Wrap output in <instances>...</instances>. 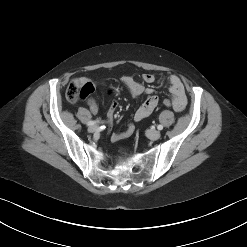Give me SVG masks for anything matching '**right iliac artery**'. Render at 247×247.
<instances>
[{
    "instance_id": "82829eb1",
    "label": "right iliac artery",
    "mask_w": 247,
    "mask_h": 247,
    "mask_svg": "<svg viewBox=\"0 0 247 247\" xmlns=\"http://www.w3.org/2000/svg\"><path fill=\"white\" fill-rule=\"evenodd\" d=\"M99 122V120H96V121H89L88 123H87V125L88 126H92V125H95L96 123H98Z\"/></svg>"
}]
</instances>
